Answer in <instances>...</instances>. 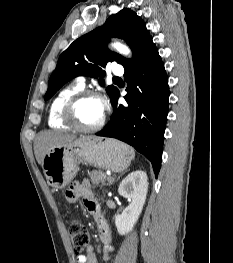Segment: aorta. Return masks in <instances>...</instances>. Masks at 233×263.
I'll return each instance as SVG.
<instances>
[{
    "mask_svg": "<svg viewBox=\"0 0 233 263\" xmlns=\"http://www.w3.org/2000/svg\"><path fill=\"white\" fill-rule=\"evenodd\" d=\"M114 47V49L116 51H118L120 54L122 55H129L130 54V50L128 47H126L125 45L121 44V43H114L112 45Z\"/></svg>",
    "mask_w": 233,
    "mask_h": 263,
    "instance_id": "1",
    "label": "aorta"
}]
</instances>
